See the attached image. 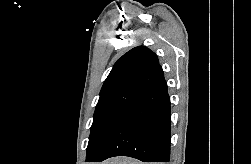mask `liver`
Segmentation results:
<instances>
[{
	"mask_svg": "<svg viewBox=\"0 0 251 164\" xmlns=\"http://www.w3.org/2000/svg\"><path fill=\"white\" fill-rule=\"evenodd\" d=\"M101 164H142V163H140L136 160L130 159V158L118 157V158L110 159V160L103 162Z\"/></svg>",
	"mask_w": 251,
	"mask_h": 164,
	"instance_id": "obj_1",
	"label": "liver"
}]
</instances>
